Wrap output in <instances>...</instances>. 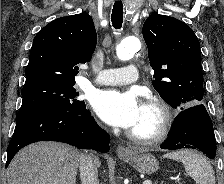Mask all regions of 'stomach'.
Wrapping results in <instances>:
<instances>
[{"instance_id": "1", "label": "stomach", "mask_w": 224, "mask_h": 184, "mask_svg": "<svg viewBox=\"0 0 224 184\" xmlns=\"http://www.w3.org/2000/svg\"><path fill=\"white\" fill-rule=\"evenodd\" d=\"M121 159L129 163L138 172L147 175L155 173L159 168L157 160L151 154L132 155L121 157Z\"/></svg>"}]
</instances>
